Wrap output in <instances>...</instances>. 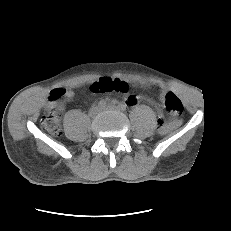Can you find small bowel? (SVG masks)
<instances>
[{
  "instance_id": "small-bowel-1",
  "label": "small bowel",
  "mask_w": 231,
  "mask_h": 231,
  "mask_svg": "<svg viewBox=\"0 0 231 231\" xmlns=\"http://www.w3.org/2000/svg\"><path fill=\"white\" fill-rule=\"evenodd\" d=\"M126 84L128 85L127 82ZM55 91H61L62 94L57 100L52 102L56 104L57 110L62 112L65 109L66 101L70 100L73 97L74 93L71 90H63L62 88L56 89ZM166 93V90L163 88L162 95L165 96ZM139 100L140 97L136 94H128L126 97V102L131 106L136 105Z\"/></svg>"
}]
</instances>
